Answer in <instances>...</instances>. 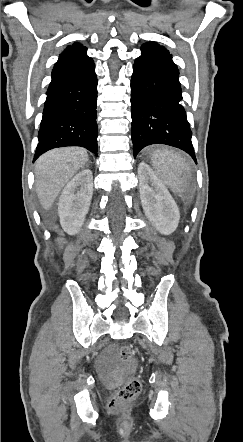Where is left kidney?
I'll list each match as a JSON object with an SVG mask.
<instances>
[{"mask_svg":"<svg viewBox=\"0 0 243 442\" xmlns=\"http://www.w3.org/2000/svg\"><path fill=\"white\" fill-rule=\"evenodd\" d=\"M142 208L149 221L161 234H172L179 223L178 206L154 171L145 162L138 166ZM152 183L153 189L149 186Z\"/></svg>","mask_w":243,"mask_h":442,"instance_id":"1","label":"left kidney"}]
</instances>
